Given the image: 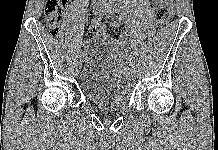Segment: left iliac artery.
<instances>
[{
    "instance_id": "1",
    "label": "left iliac artery",
    "mask_w": 218,
    "mask_h": 150,
    "mask_svg": "<svg viewBox=\"0 0 218 150\" xmlns=\"http://www.w3.org/2000/svg\"><path fill=\"white\" fill-rule=\"evenodd\" d=\"M113 1L114 0H109L108 4H107V12L109 13L108 14V17L109 18H114L115 20H118L119 19V16L117 15V13H111V8L113 6ZM114 24H118V21H114ZM136 70V67L134 64H131L128 66V71H135Z\"/></svg>"
}]
</instances>
